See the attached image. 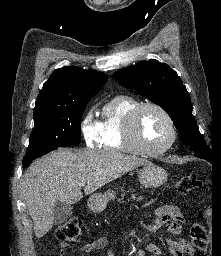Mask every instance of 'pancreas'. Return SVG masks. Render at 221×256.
<instances>
[{"label":"pancreas","mask_w":221,"mask_h":256,"mask_svg":"<svg viewBox=\"0 0 221 256\" xmlns=\"http://www.w3.org/2000/svg\"><path fill=\"white\" fill-rule=\"evenodd\" d=\"M132 199L135 200L136 199V196L133 194L132 196ZM122 198H123V195H122ZM141 198H138L137 200H140Z\"/></svg>","instance_id":"obj_1"}]
</instances>
